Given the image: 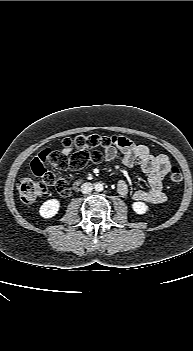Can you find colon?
I'll use <instances>...</instances> for the list:
<instances>
[{"label":"colon","mask_w":193,"mask_h":351,"mask_svg":"<svg viewBox=\"0 0 193 351\" xmlns=\"http://www.w3.org/2000/svg\"><path fill=\"white\" fill-rule=\"evenodd\" d=\"M65 147L75 149L71 156H65L61 153L44 150L32 161L31 167L35 175L41 178L35 181L30 178H21L18 181V191L20 198L24 203H33L43 196L49 186L62 195L68 194V184L64 178H56L47 170V165L58 169L79 170L88 164L99 163L102 158L101 150H106L114 146L112 137L103 135H79L74 138H68L63 141ZM169 183L177 187L183 180L181 170L177 166L170 167L168 171Z\"/></svg>","instance_id":"5ec220e1"}]
</instances>
